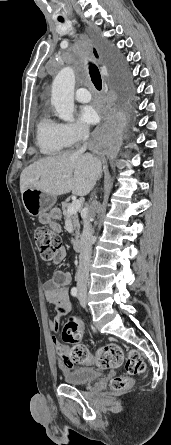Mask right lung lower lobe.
Listing matches in <instances>:
<instances>
[{
    "instance_id": "obj_1",
    "label": "right lung lower lobe",
    "mask_w": 171,
    "mask_h": 445,
    "mask_svg": "<svg viewBox=\"0 0 171 445\" xmlns=\"http://www.w3.org/2000/svg\"><path fill=\"white\" fill-rule=\"evenodd\" d=\"M108 55L116 75L112 113L105 129L93 135L90 148L101 157L113 159L119 151L120 138L127 123L131 88L120 60L111 51Z\"/></svg>"
}]
</instances>
